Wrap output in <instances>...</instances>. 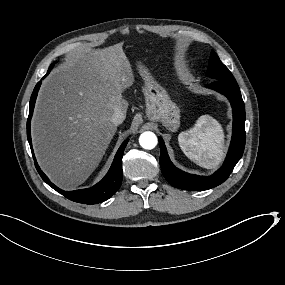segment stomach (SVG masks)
<instances>
[{
    "label": "stomach",
    "mask_w": 285,
    "mask_h": 285,
    "mask_svg": "<svg viewBox=\"0 0 285 285\" xmlns=\"http://www.w3.org/2000/svg\"><path fill=\"white\" fill-rule=\"evenodd\" d=\"M148 78V75H146ZM146 98V118L149 121H160L171 130L179 126V109L169 100L166 92L158 85L148 82L143 89Z\"/></svg>",
    "instance_id": "obj_1"
}]
</instances>
